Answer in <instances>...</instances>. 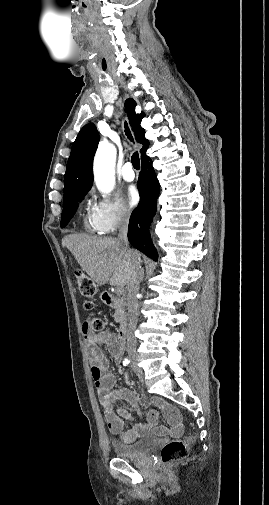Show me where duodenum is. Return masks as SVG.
Listing matches in <instances>:
<instances>
[{
	"instance_id": "1",
	"label": "duodenum",
	"mask_w": 269,
	"mask_h": 505,
	"mask_svg": "<svg viewBox=\"0 0 269 505\" xmlns=\"http://www.w3.org/2000/svg\"><path fill=\"white\" fill-rule=\"evenodd\" d=\"M102 301L110 308H122L124 306V301L121 298L114 296L109 292L102 293ZM118 342L121 346L125 345L127 340V322L126 320H122L119 330H118Z\"/></svg>"
}]
</instances>
